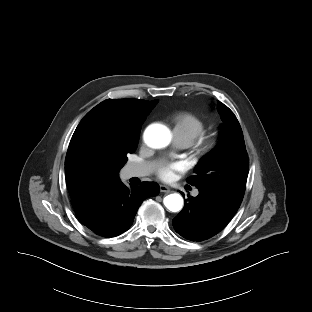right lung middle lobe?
<instances>
[{
  "label": "right lung middle lobe",
  "instance_id": "dd1d6c3e",
  "mask_svg": "<svg viewBox=\"0 0 312 312\" xmlns=\"http://www.w3.org/2000/svg\"><path fill=\"white\" fill-rule=\"evenodd\" d=\"M137 139L129 146L115 142L114 138L103 131H94L77 152V160L87 168L111 167L119 170L127 161V154L136 150Z\"/></svg>",
  "mask_w": 312,
  "mask_h": 312
}]
</instances>
